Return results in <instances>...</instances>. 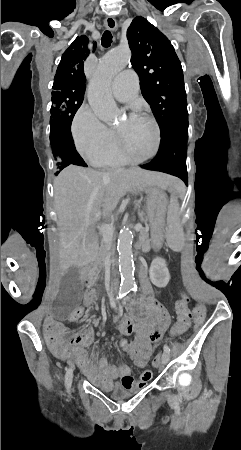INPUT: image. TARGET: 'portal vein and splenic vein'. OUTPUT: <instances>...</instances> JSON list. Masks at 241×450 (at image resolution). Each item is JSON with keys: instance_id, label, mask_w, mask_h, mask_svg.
I'll use <instances>...</instances> for the list:
<instances>
[{"instance_id": "portal-vein-and-splenic-vein-1", "label": "portal vein and splenic vein", "mask_w": 241, "mask_h": 450, "mask_svg": "<svg viewBox=\"0 0 241 450\" xmlns=\"http://www.w3.org/2000/svg\"><path fill=\"white\" fill-rule=\"evenodd\" d=\"M138 225V226H137ZM137 225H135L134 230L135 231H142V222L138 221ZM99 232L102 234L104 240H113L115 228L113 224H102V226H99Z\"/></svg>"}]
</instances>
